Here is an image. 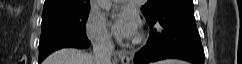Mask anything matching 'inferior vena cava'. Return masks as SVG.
<instances>
[{"instance_id":"1","label":"inferior vena cava","mask_w":242,"mask_h":64,"mask_svg":"<svg viewBox=\"0 0 242 64\" xmlns=\"http://www.w3.org/2000/svg\"><path fill=\"white\" fill-rule=\"evenodd\" d=\"M113 51L114 44L109 36L104 35L98 38L93 44L96 64H111V55Z\"/></svg>"}]
</instances>
